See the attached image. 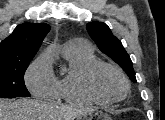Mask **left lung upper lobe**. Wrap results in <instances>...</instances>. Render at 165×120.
I'll use <instances>...</instances> for the list:
<instances>
[{"mask_svg": "<svg viewBox=\"0 0 165 120\" xmlns=\"http://www.w3.org/2000/svg\"><path fill=\"white\" fill-rule=\"evenodd\" d=\"M86 27L98 48L113 59L127 73L132 82L136 83L130 56L125 51L121 41L112 34L110 28L102 22H90Z\"/></svg>", "mask_w": 165, "mask_h": 120, "instance_id": "obj_1", "label": "left lung upper lobe"}]
</instances>
